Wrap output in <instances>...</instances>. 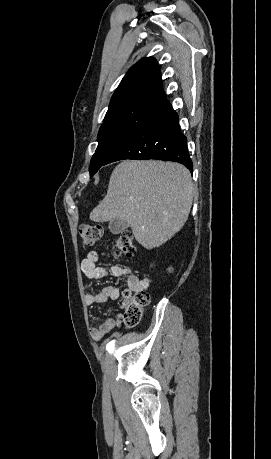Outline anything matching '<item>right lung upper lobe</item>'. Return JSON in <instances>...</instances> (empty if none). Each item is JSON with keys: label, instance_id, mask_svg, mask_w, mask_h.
Wrapping results in <instances>:
<instances>
[{"label": "right lung upper lobe", "instance_id": "right-lung-upper-lobe-1", "mask_svg": "<svg viewBox=\"0 0 271 459\" xmlns=\"http://www.w3.org/2000/svg\"><path fill=\"white\" fill-rule=\"evenodd\" d=\"M170 106L162 89L158 63L149 57L136 63L124 76L113 94L106 115L131 110L159 114Z\"/></svg>", "mask_w": 271, "mask_h": 459}]
</instances>
